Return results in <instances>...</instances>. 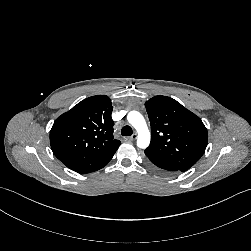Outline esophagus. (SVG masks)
<instances>
[{
  "label": "esophagus",
  "instance_id": "1",
  "mask_svg": "<svg viewBox=\"0 0 251 251\" xmlns=\"http://www.w3.org/2000/svg\"><path fill=\"white\" fill-rule=\"evenodd\" d=\"M128 139L131 140V141L136 140V139H137V134L134 133V134H133L132 136H130Z\"/></svg>",
  "mask_w": 251,
  "mask_h": 251
}]
</instances>
